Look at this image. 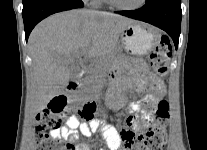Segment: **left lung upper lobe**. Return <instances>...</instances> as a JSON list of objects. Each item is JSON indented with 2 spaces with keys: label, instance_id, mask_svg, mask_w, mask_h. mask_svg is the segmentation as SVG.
I'll list each match as a JSON object with an SVG mask.
<instances>
[{
  "label": "left lung upper lobe",
  "instance_id": "obj_1",
  "mask_svg": "<svg viewBox=\"0 0 207 150\" xmlns=\"http://www.w3.org/2000/svg\"><path fill=\"white\" fill-rule=\"evenodd\" d=\"M151 1H153V0H146V3L151 2Z\"/></svg>",
  "mask_w": 207,
  "mask_h": 150
}]
</instances>
